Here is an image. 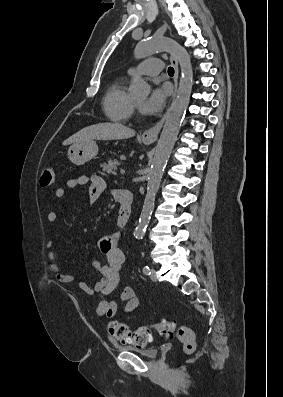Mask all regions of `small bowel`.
Instances as JSON below:
<instances>
[{"label":"small bowel","mask_w":283,"mask_h":397,"mask_svg":"<svg viewBox=\"0 0 283 397\" xmlns=\"http://www.w3.org/2000/svg\"><path fill=\"white\" fill-rule=\"evenodd\" d=\"M89 184V201L95 203L106 188L104 180L93 175L91 178L87 176H79L69 179L67 187L70 189L83 187ZM120 190L113 191L114 198L118 201ZM66 194L64 188H57L55 196L62 199ZM58 220V214L51 211L47 214V221L55 223ZM99 248L106 256V263L94 260L92 266L100 272L102 277L94 284L88 285L85 281L79 280L75 275L66 273L59 265L54 244L49 240L46 244L47 266L49 271L54 275L55 279L60 283L77 282L79 288L87 295H98L100 300L96 308V313L100 317L112 318L116 315L118 309V301L126 303L124 311L132 313L139 305V299L133 287L125 286L119 290L116 298L109 296L118 288L121 278V269L125 262V254L120 247L119 234L117 232L102 237L99 241Z\"/></svg>","instance_id":"small-bowel-1"}]
</instances>
